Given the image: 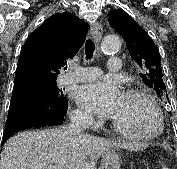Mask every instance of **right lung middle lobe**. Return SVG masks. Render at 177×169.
Returning a JSON list of instances; mask_svg holds the SVG:
<instances>
[{
    "label": "right lung middle lobe",
    "instance_id": "dd1d6c3e",
    "mask_svg": "<svg viewBox=\"0 0 177 169\" xmlns=\"http://www.w3.org/2000/svg\"><path fill=\"white\" fill-rule=\"evenodd\" d=\"M36 91L56 104L64 101L62 91L58 89L56 82L44 81L36 87Z\"/></svg>",
    "mask_w": 177,
    "mask_h": 169
}]
</instances>
